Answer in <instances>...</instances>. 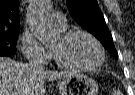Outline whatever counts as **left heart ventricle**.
Wrapping results in <instances>:
<instances>
[{"mask_svg": "<svg viewBox=\"0 0 135 95\" xmlns=\"http://www.w3.org/2000/svg\"><path fill=\"white\" fill-rule=\"evenodd\" d=\"M51 48L66 63L92 65L99 60L98 48L84 35H76L67 41L62 40L59 36L51 44Z\"/></svg>", "mask_w": 135, "mask_h": 95, "instance_id": "left-heart-ventricle-1", "label": "left heart ventricle"}]
</instances>
